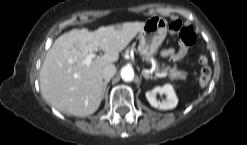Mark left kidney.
<instances>
[{
  "instance_id": "obj_1",
  "label": "left kidney",
  "mask_w": 247,
  "mask_h": 145,
  "mask_svg": "<svg viewBox=\"0 0 247 145\" xmlns=\"http://www.w3.org/2000/svg\"><path fill=\"white\" fill-rule=\"evenodd\" d=\"M157 94H164L166 96V100L159 102L156 99ZM145 96L148 100V102L151 104V106L155 108H159L161 110H168L173 109L177 106L178 98L176 96V93L170 84H166L163 87H155L151 91H147L145 93Z\"/></svg>"
}]
</instances>
